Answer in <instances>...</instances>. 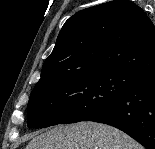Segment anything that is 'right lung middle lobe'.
Here are the masks:
<instances>
[{
    "mask_svg": "<svg viewBox=\"0 0 155 149\" xmlns=\"http://www.w3.org/2000/svg\"><path fill=\"white\" fill-rule=\"evenodd\" d=\"M131 70L89 71L38 82L28 103V127L90 121L141 78Z\"/></svg>",
    "mask_w": 155,
    "mask_h": 149,
    "instance_id": "dd1d6c3e",
    "label": "right lung middle lobe"
}]
</instances>
